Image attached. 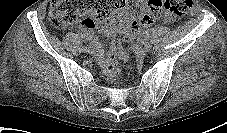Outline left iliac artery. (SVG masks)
<instances>
[{"mask_svg": "<svg viewBox=\"0 0 227 133\" xmlns=\"http://www.w3.org/2000/svg\"><path fill=\"white\" fill-rule=\"evenodd\" d=\"M144 47L147 49V51L151 49V45L149 43H146Z\"/></svg>", "mask_w": 227, "mask_h": 133, "instance_id": "left-iliac-artery-1", "label": "left iliac artery"}]
</instances>
